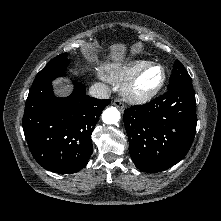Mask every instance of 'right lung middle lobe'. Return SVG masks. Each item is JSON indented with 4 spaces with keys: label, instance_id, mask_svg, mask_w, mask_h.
Wrapping results in <instances>:
<instances>
[{
    "label": "right lung middle lobe",
    "instance_id": "right-lung-middle-lobe-1",
    "mask_svg": "<svg viewBox=\"0 0 221 221\" xmlns=\"http://www.w3.org/2000/svg\"><path fill=\"white\" fill-rule=\"evenodd\" d=\"M69 59L67 58V53H63L55 58H53L36 76L32 87L38 85L39 83L45 81L46 79L64 72Z\"/></svg>",
    "mask_w": 221,
    "mask_h": 221
}]
</instances>
